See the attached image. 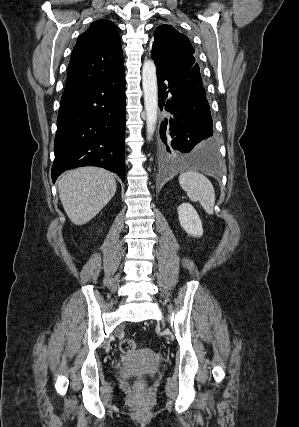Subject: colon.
Returning <instances> with one entry per match:
<instances>
[{
	"label": "colon",
	"mask_w": 299,
	"mask_h": 427,
	"mask_svg": "<svg viewBox=\"0 0 299 427\" xmlns=\"http://www.w3.org/2000/svg\"><path fill=\"white\" fill-rule=\"evenodd\" d=\"M136 349H137V344L133 339L125 338L120 343V350L125 354L132 353ZM135 385L138 389H144L145 381L143 380V378H138Z\"/></svg>",
	"instance_id": "1"
}]
</instances>
